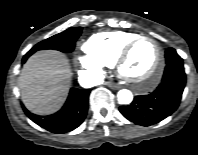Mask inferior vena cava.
Segmentation results:
<instances>
[{
	"label": "inferior vena cava",
	"mask_w": 198,
	"mask_h": 155,
	"mask_svg": "<svg viewBox=\"0 0 198 155\" xmlns=\"http://www.w3.org/2000/svg\"><path fill=\"white\" fill-rule=\"evenodd\" d=\"M80 80L87 82L89 86L93 87L99 84L103 83V79L97 75L91 74V73H84Z\"/></svg>",
	"instance_id": "1"
}]
</instances>
